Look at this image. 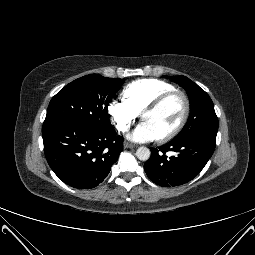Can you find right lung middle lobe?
<instances>
[{
	"mask_svg": "<svg viewBox=\"0 0 255 255\" xmlns=\"http://www.w3.org/2000/svg\"><path fill=\"white\" fill-rule=\"evenodd\" d=\"M123 83L98 74L74 80L51 99L44 124L73 121L97 131L111 130L107 108Z\"/></svg>",
	"mask_w": 255,
	"mask_h": 255,
	"instance_id": "1",
	"label": "right lung middle lobe"
}]
</instances>
